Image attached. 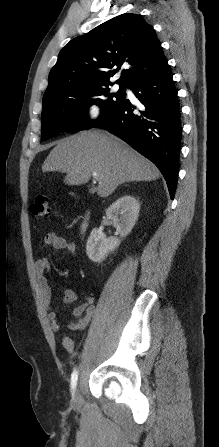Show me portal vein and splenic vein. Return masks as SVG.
<instances>
[{"mask_svg": "<svg viewBox=\"0 0 219 447\" xmlns=\"http://www.w3.org/2000/svg\"><path fill=\"white\" fill-rule=\"evenodd\" d=\"M93 176H94V177L96 178V177H97V173H96V172H94V173H93Z\"/></svg>", "mask_w": 219, "mask_h": 447, "instance_id": "obj_1", "label": "portal vein and splenic vein"}]
</instances>
